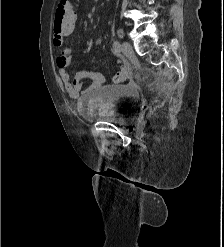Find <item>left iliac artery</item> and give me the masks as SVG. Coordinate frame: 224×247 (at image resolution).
Segmentation results:
<instances>
[{
	"mask_svg": "<svg viewBox=\"0 0 224 247\" xmlns=\"http://www.w3.org/2000/svg\"><path fill=\"white\" fill-rule=\"evenodd\" d=\"M113 49H114L115 52H119L120 51V43L118 41H114Z\"/></svg>",
	"mask_w": 224,
	"mask_h": 247,
	"instance_id": "obj_1",
	"label": "left iliac artery"
}]
</instances>
